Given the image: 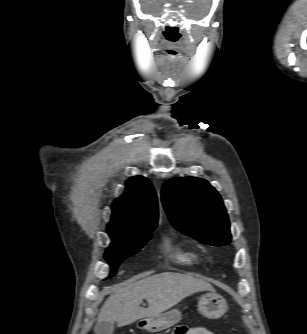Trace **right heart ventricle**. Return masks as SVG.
<instances>
[{
	"instance_id": "obj_1",
	"label": "right heart ventricle",
	"mask_w": 307,
	"mask_h": 334,
	"mask_svg": "<svg viewBox=\"0 0 307 334\" xmlns=\"http://www.w3.org/2000/svg\"><path fill=\"white\" fill-rule=\"evenodd\" d=\"M165 249L169 257L176 263L183 266H196L200 262L199 252L189 243H174L167 237L164 241Z\"/></svg>"
}]
</instances>
